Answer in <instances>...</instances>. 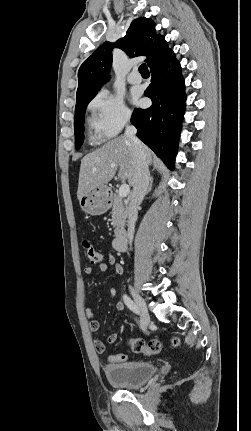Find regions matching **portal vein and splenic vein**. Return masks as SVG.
I'll return each mask as SVG.
<instances>
[{
  "mask_svg": "<svg viewBox=\"0 0 251 431\" xmlns=\"http://www.w3.org/2000/svg\"><path fill=\"white\" fill-rule=\"evenodd\" d=\"M113 167V166H112ZM96 171V169H94ZM130 193V187L128 184H122L119 188V196L126 197Z\"/></svg>",
  "mask_w": 251,
  "mask_h": 431,
  "instance_id": "18ae733b",
  "label": "portal vein and splenic vein"
}]
</instances>
